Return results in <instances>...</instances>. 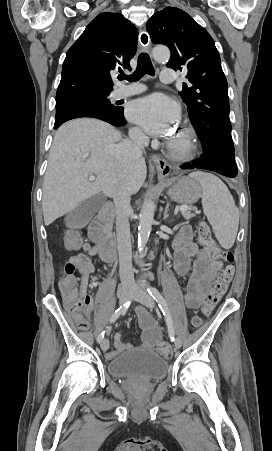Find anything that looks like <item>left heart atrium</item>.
Listing matches in <instances>:
<instances>
[{"mask_svg":"<svg viewBox=\"0 0 272 451\" xmlns=\"http://www.w3.org/2000/svg\"><path fill=\"white\" fill-rule=\"evenodd\" d=\"M130 118L150 134L163 136L178 122L179 108L172 99L157 94L136 101L130 110Z\"/></svg>","mask_w":272,"mask_h":451,"instance_id":"39dd6f15","label":"left heart atrium"}]
</instances>
